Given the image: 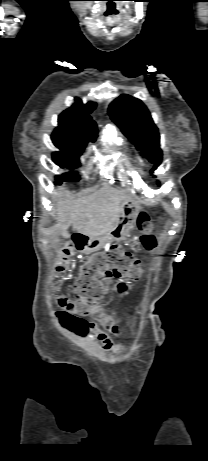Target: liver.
Returning <instances> with one entry per match:
<instances>
[{"label":"liver","mask_w":208,"mask_h":461,"mask_svg":"<svg viewBox=\"0 0 208 461\" xmlns=\"http://www.w3.org/2000/svg\"><path fill=\"white\" fill-rule=\"evenodd\" d=\"M130 199L125 191L109 187L76 200L59 193L56 214L61 235L69 238L67 229L71 225L89 238L108 233L118 221L123 203Z\"/></svg>","instance_id":"obj_1"}]
</instances>
